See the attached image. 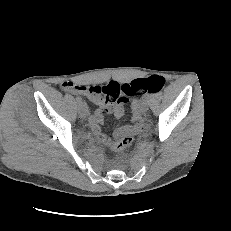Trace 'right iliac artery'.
Returning a JSON list of instances; mask_svg holds the SVG:
<instances>
[{
	"label": "right iliac artery",
	"mask_w": 231,
	"mask_h": 231,
	"mask_svg": "<svg viewBox=\"0 0 231 231\" xmlns=\"http://www.w3.org/2000/svg\"><path fill=\"white\" fill-rule=\"evenodd\" d=\"M76 101L78 104H81L82 103V98L81 97H76Z\"/></svg>",
	"instance_id": "1"
}]
</instances>
